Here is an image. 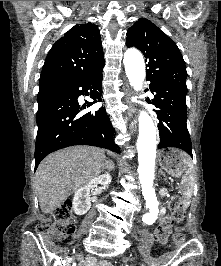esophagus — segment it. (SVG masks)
<instances>
[{
    "instance_id": "1",
    "label": "esophagus",
    "mask_w": 221,
    "mask_h": 266,
    "mask_svg": "<svg viewBox=\"0 0 221 266\" xmlns=\"http://www.w3.org/2000/svg\"><path fill=\"white\" fill-rule=\"evenodd\" d=\"M123 89H124V93H125L124 100L128 105V117L132 119V121L129 125V128L133 132L136 130L137 120H136V118L133 117L134 113H135V109H134L133 103L131 102L132 90L130 89L127 82L124 83Z\"/></svg>"
}]
</instances>
